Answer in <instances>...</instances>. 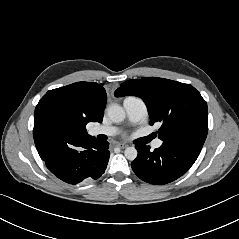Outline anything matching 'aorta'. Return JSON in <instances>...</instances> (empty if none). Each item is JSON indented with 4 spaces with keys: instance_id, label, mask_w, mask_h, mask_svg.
Wrapping results in <instances>:
<instances>
[{
    "instance_id": "obj_1",
    "label": "aorta",
    "mask_w": 239,
    "mask_h": 239,
    "mask_svg": "<svg viewBox=\"0 0 239 239\" xmlns=\"http://www.w3.org/2000/svg\"><path fill=\"white\" fill-rule=\"evenodd\" d=\"M107 114L108 117L113 121V122H121L125 119V111L124 109L118 105V104H113L110 105L107 109ZM137 150L135 147H127L124 151V155L128 160H135L137 157Z\"/></svg>"
}]
</instances>
